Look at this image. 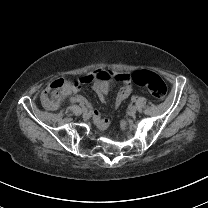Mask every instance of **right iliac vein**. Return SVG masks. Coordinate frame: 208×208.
<instances>
[{
    "label": "right iliac vein",
    "mask_w": 208,
    "mask_h": 208,
    "mask_svg": "<svg viewBox=\"0 0 208 208\" xmlns=\"http://www.w3.org/2000/svg\"><path fill=\"white\" fill-rule=\"evenodd\" d=\"M87 112H88L87 108L82 109V113H83L84 115L87 114Z\"/></svg>",
    "instance_id": "obj_1"
}]
</instances>
